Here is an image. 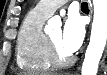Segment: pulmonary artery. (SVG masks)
<instances>
[{"instance_id":"e3ab8cb5","label":"pulmonary artery","mask_w":107,"mask_h":75,"mask_svg":"<svg viewBox=\"0 0 107 75\" xmlns=\"http://www.w3.org/2000/svg\"><path fill=\"white\" fill-rule=\"evenodd\" d=\"M67 1L68 0H42L36 5L35 10L41 15L49 17Z\"/></svg>"}]
</instances>
